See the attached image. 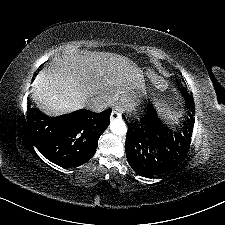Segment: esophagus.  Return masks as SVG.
Here are the masks:
<instances>
[{"mask_svg": "<svg viewBox=\"0 0 225 225\" xmlns=\"http://www.w3.org/2000/svg\"><path fill=\"white\" fill-rule=\"evenodd\" d=\"M119 119H121V113L116 110H112L110 113V120H119Z\"/></svg>", "mask_w": 225, "mask_h": 225, "instance_id": "34e87169", "label": "esophagus"}]
</instances>
